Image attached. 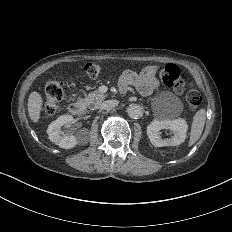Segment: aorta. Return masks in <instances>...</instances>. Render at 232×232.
I'll list each match as a JSON object with an SVG mask.
<instances>
[{"mask_svg":"<svg viewBox=\"0 0 232 232\" xmlns=\"http://www.w3.org/2000/svg\"><path fill=\"white\" fill-rule=\"evenodd\" d=\"M127 112H128V115L134 119L139 118L143 114L142 107L138 104L129 105Z\"/></svg>","mask_w":232,"mask_h":232,"instance_id":"762f6f07","label":"aorta"}]
</instances>
